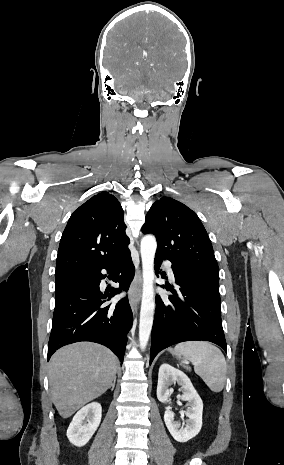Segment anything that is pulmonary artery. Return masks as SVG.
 Wrapping results in <instances>:
<instances>
[{
	"label": "pulmonary artery",
	"instance_id": "e3ab8cb5",
	"mask_svg": "<svg viewBox=\"0 0 284 465\" xmlns=\"http://www.w3.org/2000/svg\"><path fill=\"white\" fill-rule=\"evenodd\" d=\"M169 276L171 279H173V273L171 271L169 272Z\"/></svg>",
	"mask_w": 284,
	"mask_h": 465
}]
</instances>
